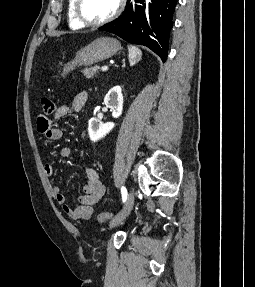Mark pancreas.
Here are the masks:
<instances>
[{
  "label": "pancreas",
  "mask_w": 255,
  "mask_h": 287,
  "mask_svg": "<svg viewBox=\"0 0 255 287\" xmlns=\"http://www.w3.org/2000/svg\"><path fill=\"white\" fill-rule=\"evenodd\" d=\"M98 70H100V66H93V68H85V70H82V72L86 78H94Z\"/></svg>",
  "instance_id": "1"
}]
</instances>
